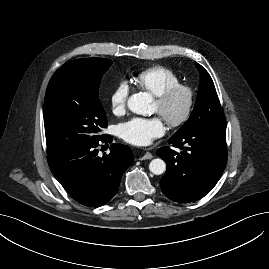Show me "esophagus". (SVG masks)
Returning <instances> with one entry per match:
<instances>
[{"label": "esophagus", "mask_w": 269, "mask_h": 269, "mask_svg": "<svg viewBox=\"0 0 269 269\" xmlns=\"http://www.w3.org/2000/svg\"><path fill=\"white\" fill-rule=\"evenodd\" d=\"M152 158H153V155L150 152H146L140 157V160H150Z\"/></svg>", "instance_id": "esophagus-1"}]
</instances>
